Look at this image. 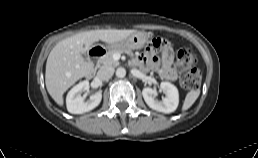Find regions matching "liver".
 Here are the masks:
<instances>
[{"instance_id": "liver-1", "label": "liver", "mask_w": 258, "mask_h": 158, "mask_svg": "<svg viewBox=\"0 0 258 158\" xmlns=\"http://www.w3.org/2000/svg\"><path fill=\"white\" fill-rule=\"evenodd\" d=\"M135 30H91L77 33L58 42L51 50L45 72V84L48 93L58 105H63V94L79 79L89 76L93 64L85 61L86 53L93 43L101 40L105 43L118 42Z\"/></svg>"}]
</instances>
